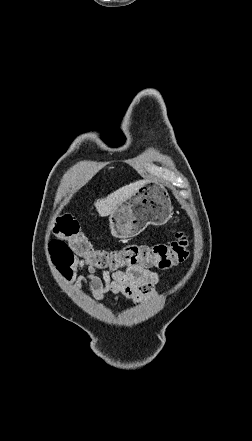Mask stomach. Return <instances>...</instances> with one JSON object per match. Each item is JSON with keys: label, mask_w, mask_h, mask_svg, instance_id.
<instances>
[{"label": "stomach", "mask_w": 252, "mask_h": 441, "mask_svg": "<svg viewBox=\"0 0 252 441\" xmlns=\"http://www.w3.org/2000/svg\"><path fill=\"white\" fill-rule=\"evenodd\" d=\"M172 209L165 186L157 182L146 183L110 214L111 233L119 239L133 238L148 225L165 224L171 217Z\"/></svg>", "instance_id": "0dacf381"}]
</instances>
